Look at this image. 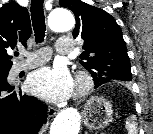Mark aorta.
Returning <instances> with one entry per match:
<instances>
[{"instance_id":"1","label":"aorta","mask_w":153,"mask_h":134,"mask_svg":"<svg viewBox=\"0 0 153 134\" xmlns=\"http://www.w3.org/2000/svg\"><path fill=\"white\" fill-rule=\"evenodd\" d=\"M48 23L52 31L64 32L74 27L75 20L68 10L56 9L49 15ZM79 130V113L73 108H67L55 117L50 128V134H78Z\"/></svg>"}]
</instances>
